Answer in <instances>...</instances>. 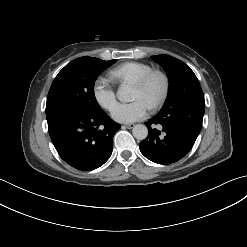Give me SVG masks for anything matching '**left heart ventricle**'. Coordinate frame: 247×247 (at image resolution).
<instances>
[{
	"label": "left heart ventricle",
	"instance_id": "left-heart-ventricle-1",
	"mask_svg": "<svg viewBox=\"0 0 247 247\" xmlns=\"http://www.w3.org/2000/svg\"><path fill=\"white\" fill-rule=\"evenodd\" d=\"M162 90V81L160 78H154L147 89L143 90L134 86L133 89V99H142L149 106L152 102L159 96Z\"/></svg>",
	"mask_w": 247,
	"mask_h": 247
}]
</instances>
